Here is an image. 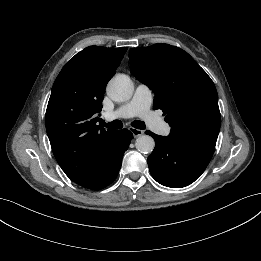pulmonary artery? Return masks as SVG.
Listing matches in <instances>:
<instances>
[{
  "mask_svg": "<svg viewBox=\"0 0 261 261\" xmlns=\"http://www.w3.org/2000/svg\"><path fill=\"white\" fill-rule=\"evenodd\" d=\"M153 95L150 88L145 84H139L134 92L132 99L116 110L106 112L104 118L112 121L118 118H131L138 116L142 118L152 130L162 135H168L170 127L157 117L151 110Z\"/></svg>",
  "mask_w": 261,
  "mask_h": 261,
  "instance_id": "1",
  "label": "pulmonary artery"
}]
</instances>
